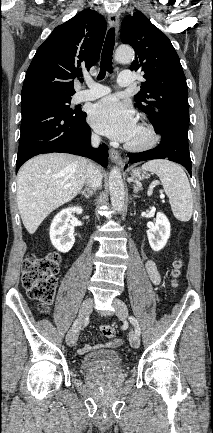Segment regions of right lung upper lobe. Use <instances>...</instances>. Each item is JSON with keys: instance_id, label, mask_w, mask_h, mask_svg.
<instances>
[{"instance_id": "1", "label": "right lung upper lobe", "mask_w": 213, "mask_h": 433, "mask_svg": "<svg viewBox=\"0 0 213 433\" xmlns=\"http://www.w3.org/2000/svg\"><path fill=\"white\" fill-rule=\"evenodd\" d=\"M105 32L104 17L91 9L57 26L37 49L21 97L37 92L73 95L74 79L98 61Z\"/></svg>"}]
</instances>
